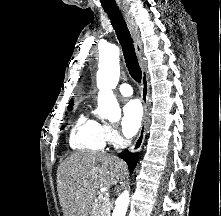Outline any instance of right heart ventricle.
I'll return each mask as SVG.
<instances>
[{
    "mask_svg": "<svg viewBox=\"0 0 221 216\" xmlns=\"http://www.w3.org/2000/svg\"><path fill=\"white\" fill-rule=\"evenodd\" d=\"M69 144L75 150L101 151L106 144L104 124L88 115H81L70 131Z\"/></svg>",
    "mask_w": 221,
    "mask_h": 216,
    "instance_id": "right-heart-ventricle-1",
    "label": "right heart ventricle"
}]
</instances>
